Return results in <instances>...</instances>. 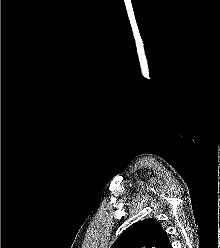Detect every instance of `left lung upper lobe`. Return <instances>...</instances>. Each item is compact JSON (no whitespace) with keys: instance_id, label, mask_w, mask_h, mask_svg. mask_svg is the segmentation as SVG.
I'll use <instances>...</instances> for the list:
<instances>
[{"instance_id":"obj_1","label":"left lung upper lobe","mask_w":220,"mask_h":248,"mask_svg":"<svg viewBox=\"0 0 220 248\" xmlns=\"http://www.w3.org/2000/svg\"><path fill=\"white\" fill-rule=\"evenodd\" d=\"M160 222L154 218L138 221L122 232L110 248H170Z\"/></svg>"}]
</instances>
